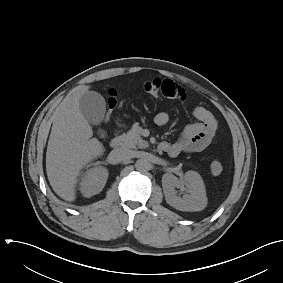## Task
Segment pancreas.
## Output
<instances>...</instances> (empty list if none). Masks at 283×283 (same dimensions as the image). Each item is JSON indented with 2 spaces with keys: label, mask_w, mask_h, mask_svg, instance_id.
Here are the masks:
<instances>
[{
  "label": "pancreas",
  "mask_w": 283,
  "mask_h": 283,
  "mask_svg": "<svg viewBox=\"0 0 283 283\" xmlns=\"http://www.w3.org/2000/svg\"><path fill=\"white\" fill-rule=\"evenodd\" d=\"M142 128L139 127L138 123H135L131 130L121 136L122 146L126 148H139L143 149L148 147V143L142 139L140 133Z\"/></svg>",
  "instance_id": "pancreas-1"
}]
</instances>
